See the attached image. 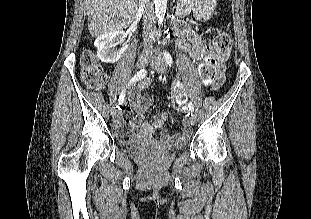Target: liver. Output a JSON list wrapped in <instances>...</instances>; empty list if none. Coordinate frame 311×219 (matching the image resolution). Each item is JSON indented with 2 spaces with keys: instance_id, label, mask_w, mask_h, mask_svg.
<instances>
[{
  "instance_id": "obj_1",
  "label": "liver",
  "mask_w": 311,
  "mask_h": 219,
  "mask_svg": "<svg viewBox=\"0 0 311 219\" xmlns=\"http://www.w3.org/2000/svg\"><path fill=\"white\" fill-rule=\"evenodd\" d=\"M140 0H85L92 37L126 28L135 17Z\"/></svg>"
}]
</instances>
